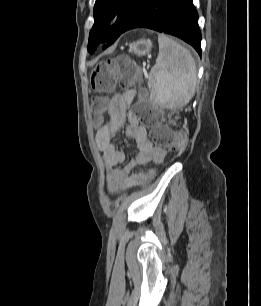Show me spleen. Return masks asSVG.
I'll use <instances>...</instances> for the list:
<instances>
[{
	"instance_id": "1",
	"label": "spleen",
	"mask_w": 261,
	"mask_h": 306,
	"mask_svg": "<svg viewBox=\"0 0 261 306\" xmlns=\"http://www.w3.org/2000/svg\"><path fill=\"white\" fill-rule=\"evenodd\" d=\"M159 54L148 87L151 99L164 108L185 106L195 93L197 71L190 52L165 35L158 36Z\"/></svg>"
}]
</instances>
